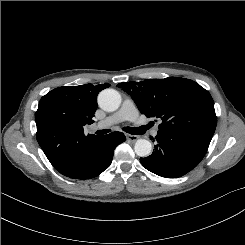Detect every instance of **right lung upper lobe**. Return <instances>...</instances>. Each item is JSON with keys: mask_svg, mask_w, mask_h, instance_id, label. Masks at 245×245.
<instances>
[{"mask_svg": "<svg viewBox=\"0 0 245 245\" xmlns=\"http://www.w3.org/2000/svg\"><path fill=\"white\" fill-rule=\"evenodd\" d=\"M108 83L93 86H65L44 95L35 113L37 141L58 171H65L83 160L101 137L84 135L83 126L92 124L98 93Z\"/></svg>", "mask_w": 245, "mask_h": 245, "instance_id": "obj_1", "label": "right lung upper lobe"}]
</instances>
